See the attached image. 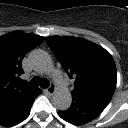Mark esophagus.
I'll use <instances>...</instances> for the list:
<instances>
[{
  "mask_svg": "<svg viewBox=\"0 0 128 128\" xmlns=\"http://www.w3.org/2000/svg\"><path fill=\"white\" fill-rule=\"evenodd\" d=\"M55 91H56V86L53 83L46 89V92L50 95L54 94Z\"/></svg>",
  "mask_w": 128,
  "mask_h": 128,
  "instance_id": "obj_1",
  "label": "esophagus"
}]
</instances>
